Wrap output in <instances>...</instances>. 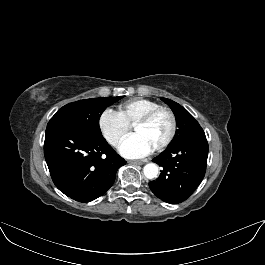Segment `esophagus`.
Listing matches in <instances>:
<instances>
[{"mask_svg":"<svg viewBox=\"0 0 265 265\" xmlns=\"http://www.w3.org/2000/svg\"><path fill=\"white\" fill-rule=\"evenodd\" d=\"M129 164L142 165V164H144V162L143 161H138V160H131V161H129Z\"/></svg>","mask_w":265,"mask_h":265,"instance_id":"esophagus-1","label":"esophagus"}]
</instances>
